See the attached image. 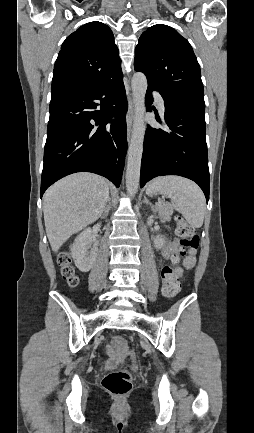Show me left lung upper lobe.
Returning a JSON list of instances; mask_svg holds the SVG:
<instances>
[{"label": "left lung upper lobe", "mask_w": 254, "mask_h": 433, "mask_svg": "<svg viewBox=\"0 0 254 433\" xmlns=\"http://www.w3.org/2000/svg\"><path fill=\"white\" fill-rule=\"evenodd\" d=\"M134 68L165 100H182L205 107L200 66L189 42L173 28L157 24L139 38Z\"/></svg>", "instance_id": "left-lung-upper-lobe-1"}]
</instances>
